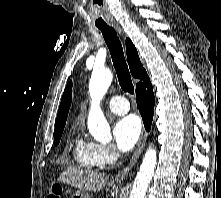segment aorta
<instances>
[{"instance_id": "aorta-1", "label": "aorta", "mask_w": 221, "mask_h": 198, "mask_svg": "<svg viewBox=\"0 0 221 198\" xmlns=\"http://www.w3.org/2000/svg\"><path fill=\"white\" fill-rule=\"evenodd\" d=\"M112 73L108 69L92 72L89 82V93L92 100L91 110L88 115V130L94 139L98 141L111 140L110 126L99 108V103L106 94L111 82ZM157 162V152L149 147L143 157L140 169L133 183L130 198H144L148 186L154 175Z\"/></svg>"}]
</instances>
